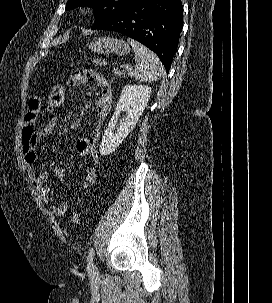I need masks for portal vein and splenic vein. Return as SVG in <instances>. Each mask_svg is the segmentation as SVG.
I'll return each mask as SVG.
<instances>
[{
    "mask_svg": "<svg viewBox=\"0 0 272 303\" xmlns=\"http://www.w3.org/2000/svg\"><path fill=\"white\" fill-rule=\"evenodd\" d=\"M124 69L131 70V68L129 67V65H124Z\"/></svg>",
    "mask_w": 272,
    "mask_h": 303,
    "instance_id": "obj_1",
    "label": "portal vein and splenic vein"
}]
</instances>
